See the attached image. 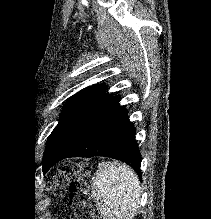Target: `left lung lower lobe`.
<instances>
[{
	"label": "left lung lower lobe",
	"instance_id": "obj_1",
	"mask_svg": "<svg viewBox=\"0 0 211 219\" xmlns=\"http://www.w3.org/2000/svg\"><path fill=\"white\" fill-rule=\"evenodd\" d=\"M119 100V97L104 95L84 113L51 157L43 162V172L65 158L105 156L126 162L141 178L136 129Z\"/></svg>",
	"mask_w": 211,
	"mask_h": 219
}]
</instances>
